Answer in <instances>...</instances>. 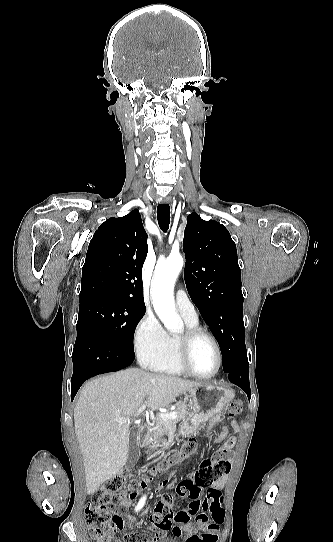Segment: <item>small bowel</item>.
I'll return each mask as SVG.
<instances>
[{
    "label": "small bowel",
    "instance_id": "obj_1",
    "mask_svg": "<svg viewBox=\"0 0 333 542\" xmlns=\"http://www.w3.org/2000/svg\"><path fill=\"white\" fill-rule=\"evenodd\" d=\"M219 421H212L210 420V423H209V426H208V430H207V436H208V439L210 442L214 443V444H221V452L222 453H217L213 458L217 461V462H231L233 460V455L231 453H227L229 452L235 445L236 443V437L235 436H229V428L232 429V431L234 433H238L240 431V425L237 421L235 420H232L229 424V426L225 425L222 427V430L221 432L218 434V435H212L211 434V428L216 425ZM162 477L158 476V477H155V476H152L150 479L147 477L145 480H141V484H140V489L141 490H148L149 489V486H159L160 488L162 487H165L168 485V481L167 480H164L162 481ZM226 481H227V478L226 477H221L217 480H215L212 484V488L214 489H222L225 484H226ZM160 488H155V493H160ZM138 498V494L137 492L135 493H131L130 496L124 500H121L118 504L120 507H123V508H128V507H134L136 505V500ZM162 498L163 499H168L169 498V493L168 492H163L162 493ZM148 509H142V510H135L133 513H131L130 515H128L127 517V520L129 522L130 525H133L135 522H136V518L139 516V515H143L145 513H147ZM182 527H183V530L186 532V534H193L196 532L197 528L195 527V525H193L192 523H185V524H181ZM117 528L122 532L124 529V523L123 522H118L117 523ZM177 537V536H175Z\"/></svg>",
    "mask_w": 333,
    "mask_h": 542
}]
</instances>
